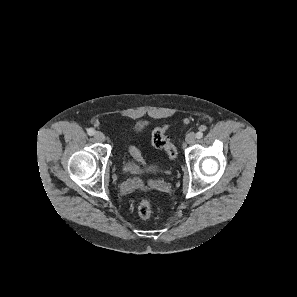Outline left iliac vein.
Listing matches in <instances>:
<instances>
[{
    "mask_svg": "<svg viewBox=\"0 0 297 297\" xmlns=\"http://www.w3.org/2000/svg\"><path fill=\"white\" fill-rule=\"evenodd\" d=\"M185 140L188 144H193L196 141V135L193 132H190L186 135Z\"/></svg>",
    "mask_w": 297,
    "mask_h": 297,
    "instance_id": "1",
    "label": "left iliac vein"
}]
</instances>
